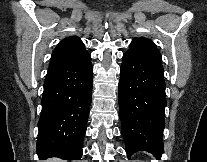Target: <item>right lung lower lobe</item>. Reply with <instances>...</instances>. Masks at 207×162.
<instances>
[{"mask_svg": "<svg viewBox=\"0 0 207 162\" xmlns=\"http://www.w3.org/2000/svg\"><path fill=\"white\" fill-rule=\"evenodd\" d=\"M93 68L89 54L49 69L38 122L36 152L40 160L57 156L80 160L92 99Z\"/></svg>", "mask_w": 207, "mask_h": 162, "instance_id": "obj_1", "label": "right lung lower lobe"}]
</instances>
